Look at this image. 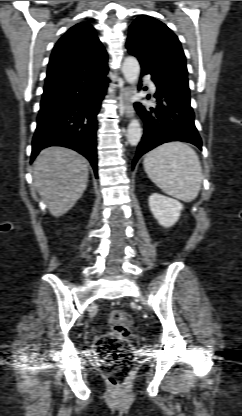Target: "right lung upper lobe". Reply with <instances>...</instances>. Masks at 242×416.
Wrapping results in <instances>:
<instances>
[{
  "mask_svg": "<svg viewBox=\"0 0 242 416\" xmlns=\"http://www.w3.org/2000/svg\"><path fill=\"white\" fill-rule=\"evenodd\" d=\"M107 70V53L94 28L86 22L78 23L55 45L44 89L81 81Z\"/></svg>",
  "mask_w": 242,
  "mask_h": 416,
  "instance_id": "1",
  "label": "right lung upper lobe"
}]
</instances>
